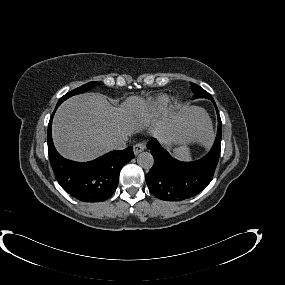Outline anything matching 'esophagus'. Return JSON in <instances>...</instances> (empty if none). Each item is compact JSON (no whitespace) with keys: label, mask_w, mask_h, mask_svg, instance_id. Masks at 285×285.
I'll return each instance as SVG.
<instances>
[{"label":"esophagus","mask_w":285,"mask_h":285,"mask_svg":"<svg viewBox=\"0 0 285 285\" xmlns=\"http://www.w3.org/2000/svg\"><path fill=\"white\" fill-rule=\"evenodd\" d=\"M146 148V145L144 142H139L134 145L133 151L135 155H138L140 152L144 151Z\"/></svg>","instance_id":"34e87169"}]
</instances>
